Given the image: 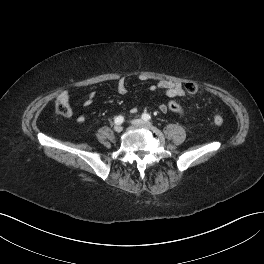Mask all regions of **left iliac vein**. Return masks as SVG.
Segmentation results:
<instances>
[{"instance_id":"obj_1","label":"left iliac vein","mask_w":264,"mask_h":264,"mask_svg":"<svg viewBox=\"0 0 264 264\" xmlns=\"http://www.w3.org/2000/svg\"><path fill=\"white\" fill-rule=\"evenodd\" d=\"M132 124H134V125H145V126H147V125H150L151 123L148 122V121H144L142 119H134V120H132Z\"/></svg>"}]
</instances>
